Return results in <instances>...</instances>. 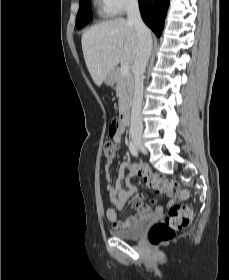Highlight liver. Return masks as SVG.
Masks as SVG:
<instances>
[{
  "label": "liver",
  "mask_w": 229,
  "mask_h": 280,
  "mask_svg": "<svg viewBox=\"0 0 229 280\" xmlns=\"http://www.w3.org/2000/svg\"><path fill=\"white\" fill-rule=\"evenodd\" d=\"M81 43L88 71L100 87L119 63L130 64L135 60L139 37L134 24L118 18L90 27L82 35Z\"/></svg>",
  "instance_id": "liver-1"
}]
</instances>
